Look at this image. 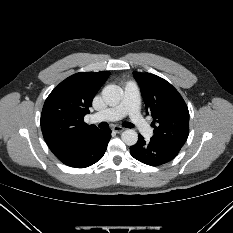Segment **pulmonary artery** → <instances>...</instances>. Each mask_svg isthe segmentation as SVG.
I'll list each match as a JSON object with an SVG mask.
<instances>
[{
  "mask_svg": "<svg viewBox=\"0 0 233 233\" xmlns=\"http://www.w3.org/2000/svg\"><path fill=\"white\" fill-rule=\"evenodd\" d=\"M140 92L135 81H128L124 86L122 99L116 106L102 110L92 116V121H116L128 115L130 121L144 136H150L152 129L139 111Z\"/></svg>",
  "mask_w": 233,
  "mask_h": 233,
  "instance_id": "1",
  "label": "pulmonary artery"
}]
</instances>
